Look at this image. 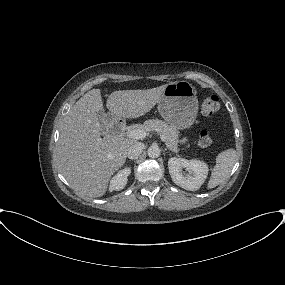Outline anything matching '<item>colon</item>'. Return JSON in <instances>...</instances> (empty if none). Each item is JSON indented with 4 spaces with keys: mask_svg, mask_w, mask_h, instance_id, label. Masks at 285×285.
Returning a JSON list of instances; mask_svg holds the SVG:
<instances>
[{
    "mask_svg": "<svg viewBox=\"0 0 285 285\" xmlns=\"http://www.w3.org/2000/svg\"><path fill=\"white\" fill-rule=\"evenodd\" d=\"M201 113L204 116H211L220 108V101L215 95H203L201 98ZM212 143L211 136L207 131H201L198 139V145L201 148H208Z\"/></svg>",
    "mask_w": 285,
    "mask_h": 285,
    "instance_id": "obj_1",
    "label": "colon"
}]
</instances>
